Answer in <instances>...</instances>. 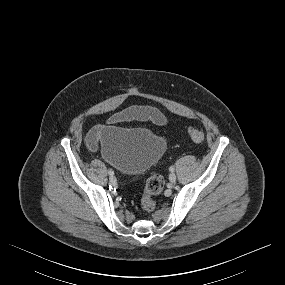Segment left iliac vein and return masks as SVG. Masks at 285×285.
Segmentation results:
<instances>
[{"label":"left iliac vein","mask_w":285,"mask_h":285,"mask_svg":"<svg viewBox=\"0 0 285 285\" xmlns=\"http://www.w3.org/2000/svg\"><path fill=\"white\" fill-rule=\"evenodd\" d=\"M176 179H177V177H176V175H175L174 173H171V174L169 175V181H170L171 183H175V182H176Z\"/></svg>","instance_id":"obj_1"}]
</instances>
